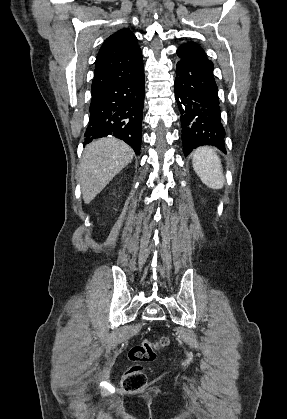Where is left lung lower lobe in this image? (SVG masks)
I'll list each match as a JSON object with an SVG mask.
<instances>
[{"label": "left lung lower lobe", "instance_id": "0a47b994", "mask_svg": "<svg viewBox=\"0 0 287 419\" xmlns=\"http://www.w3.org/2000/svg\"><path fill=\"white\" fill-rule=\"evenodd\" d=\"M213 69V63L187 60L177 63L174 88L181 114L185 156L202 145H213L226 153Z\"/></svg>", "mask_w": 287, "mask_h": 419}]
</instances>
